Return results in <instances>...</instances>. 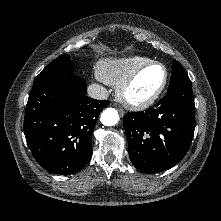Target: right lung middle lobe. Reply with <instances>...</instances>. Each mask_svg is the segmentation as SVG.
<instances>
[{"label":"right lung middle lobe","instance_id":"obj_1","mask_svg":"<svg viewBox=\"0 0 221 221\" xmlns=\"http://www.w3.org/2000/svg\"><path fill=\"white\" fill-rule=\"evenodd\" d=\"M73 66L74 64L69 55L64 54L57 57L36 77L32 90L43 86L54 77L72 74Z\"/></svg>","mask_w":221,"mask_h":221}]
</instances>
